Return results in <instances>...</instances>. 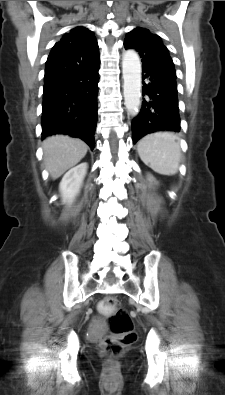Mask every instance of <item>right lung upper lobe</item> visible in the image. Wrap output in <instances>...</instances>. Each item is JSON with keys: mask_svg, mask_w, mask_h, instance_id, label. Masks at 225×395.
I'll return each mask as SVG.
<instances>
[{"mask_svg": "<svg viewBox=\"0 0 225 395\" xmlns=\"http://www.w3.org/2000/svg\"><path fill=\"white\" fill-rule=\"evenodd\" d=\"M98 59L99 48L93 32L75 27L53 46L46 61L44 80L85 69Z\"/></svg>", "mask_w": 225, "mask_h": 395, "instance_id": "1", "label": "right lung upper lobe"}]
</instances>
